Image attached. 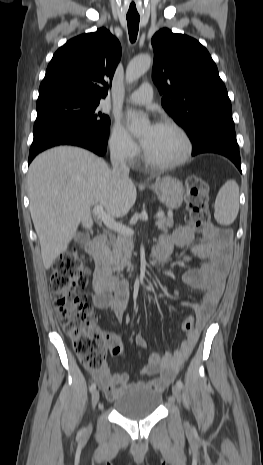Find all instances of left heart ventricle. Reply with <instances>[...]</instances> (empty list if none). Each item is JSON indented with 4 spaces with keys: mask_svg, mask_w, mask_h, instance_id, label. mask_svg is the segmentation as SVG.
I'll list each match as a JSON object with an SVG mask.
<instances>
[{
    "mask_svg": "<svg viewBox=\"0 0 263 465\" xmlns=\"http://www.w3.org/2000/svg\"><path fill=\"white\" fill-rule=\"evenodd\" d=\"M149 128L143 132V137ZM149 155L159 162H170L181 157L184 152V141L174 129L156 126L144 146Z\"/></svg>",
    "mask_w": 263,
    "mask_h": 465,
    "instance_id": "obj_1",
    "label": "left heart ventricle"
}]
</instances>
